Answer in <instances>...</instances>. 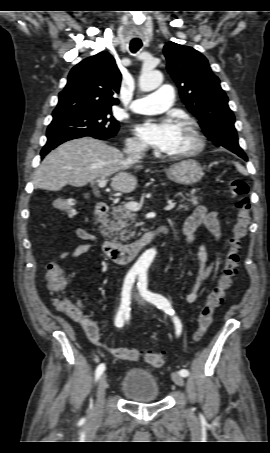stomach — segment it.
Returning a JSON list of instances; mask_svg holds the SVG:
<instances>
[{
  "label": "stomach",
  "mask_w": 270,
  "mask_h": 453,
  "mask_svg": "<svg viewBox=\"0 0 270 453\" xmlns=\"http://www.w3.org/2000/svg\"><path fill=\"white\" fill-rule=\"evenodd\" d=\"M166 174L170 180L182 185L196 184L204 175L200 163L192 159L173 164L166 169Z\"/></svg>",
  "instance_id": "0dacf381"
}]
</instances>
